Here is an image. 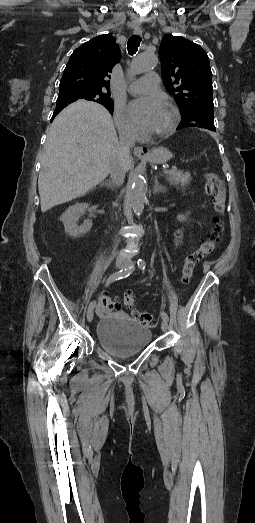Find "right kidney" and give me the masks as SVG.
Returning a JSON list of instances; mask_svg holds the SVG:
<instances>
[{"label":"right kidney","instance_id":"ca27d5eb","mask_svg":"<svg viewBox=\"0 0 255 523\" xmlns=\"http://www.w3.org/2000/svg\"><path fill=\"white\" fill-rule=\"evenodd\" d=\"M88 208L89 204H75V206H70V208L62 214L60 220L64 224L65 232H67L69 236H72V238H80L82 234H87L88 230L92 228L91 220H85L83 226H77L76 224L78 214L86 212Z\"/></svg>","mask_w":255,"mask_h":523}]
</instances>
